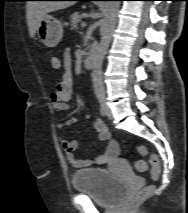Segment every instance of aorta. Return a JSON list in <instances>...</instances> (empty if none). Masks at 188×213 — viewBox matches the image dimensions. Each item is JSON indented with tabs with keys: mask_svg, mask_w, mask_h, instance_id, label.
I'll return each instance as SVG.
<instances>
[{
	"mask_svg": "<svg viewBox=\"0 0 188 213\" xmlns=\"http://www.w3.org/2000/svg\"><path fill=\"white\" fill-rule=\"evenodd\" d=\"M119 7H120L119 1H107L105 5L103 33L97 50L92 71V82L94 92L96 96L99 98L105 96L104 84L102 80V64L117 23Z\"/></svg>",
	"mask_w": 188,
	"mask_h": 213,
	"instance_id": "aorta-1",
	"label": "aorta"
}]
</instances>
